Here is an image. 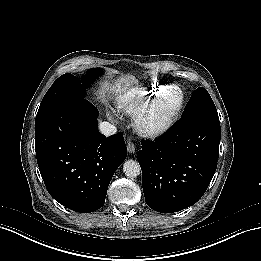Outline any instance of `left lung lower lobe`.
<instances>
[{"label":"left lung lower lobe","instance_id":"left-lung-lower-lobe-1","mask_svg":"<svg viewBox=\"0 0 261 261\" xmlns=\"http://www.w3.org/2000/svg\"><path fill=\"white\" fill-rule=\"evenodd\" d=\"M220 136L218 117L197 115L180 120L155 142L142 141L137 159L146 204L161 213L194 205L215 173Z\"/></svg>","mask_w":261,"mask_h":261}]
</instances>
